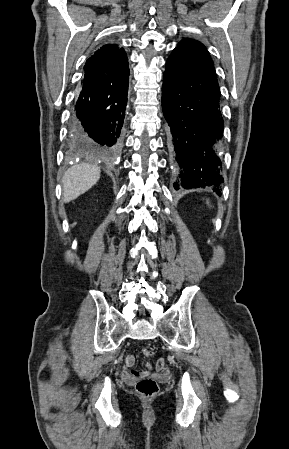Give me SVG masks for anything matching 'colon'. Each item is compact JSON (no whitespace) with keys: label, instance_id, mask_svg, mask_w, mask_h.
I'll return each instance as SVG.
<instances>
[{"label":"colon","instance_id":"obj_1","mask_svg":"<svg viewBox=\"0 0 289 449\" xmlns=\"http://www.w3.org/2000/svg\"><path fill=\"white\" fill-rule=\"evenodd\" d=\"M143 354L150 357L154 354V352L149 348H144ZM137 378L138 381L136 383V391L140 395L150 397L157 393L158 384L153 378L149 377L148 374L140 373Z\"/></svg>","mask_w":289,"mask_h":449}]
</instances>
